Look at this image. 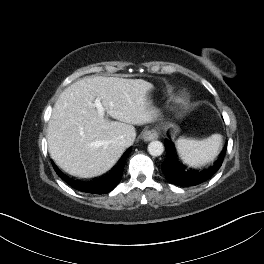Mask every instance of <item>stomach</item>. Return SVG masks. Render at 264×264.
Masks as SVG:
<instances>
[{
  "instance_id": "0dacf381",
  "label": "stomach",
  "mask_w": 264,
  "mask_h": 264,
  "mask_svg": "<svg viewBox=\"0 0 264 264\" xmlns=\"http://www.w3.org/2000/svg\"><path fill=\"white\" fill-rule=\"evenodd\" d=\"M171 127H173L174 128V130H177V127L176 126H173V125H170Z\"/></svg>"
}]
</instances>
